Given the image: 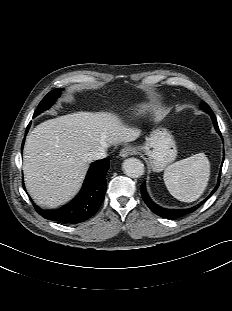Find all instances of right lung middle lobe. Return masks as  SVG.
I'll return each mask as SVG.
<instances>
[{
    "label": "right lung middle lobe",
    "mask_w": 232,
    "mask_h": 311,
    "mask_svg": "<svg viewBox=\"0 0 232 311\" xmlns=\"http://www.w3.org/2000/svg\"><path fill=\"white\" fill-rule=\"evenodd\" d=\"M61 90L62 88H57L50 91L38 105L34 113V117L40 114L41 112L45 111L46 109H48L56 101L57 97L60 96Z\"/></svg>",
    "instance_id": "1"
}]
</instances>
